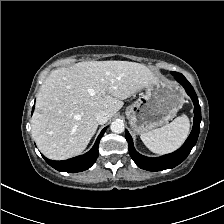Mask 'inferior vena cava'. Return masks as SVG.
I'll use <instances>...</instances> for the list:
<instances>
[{
	"mask_svg": "<svg viewBox=\"0 0 224 224\" xmlns=\"http://www.w3.org/2000/svg\"><path fill=\"white\" fill-rule=\"evenodd\" d=\"M109 120V114L106 111H100L96 115L98 124H105Z\"/></svg>",
	"mask_w": 224,
	"mask_h": 224,
	"instance_id": "602c4592",
	"label": "inferior vena cava"
}]
</instances>
